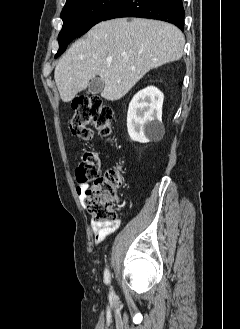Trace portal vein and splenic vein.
Listing matches in <instances>:
<instances>
[{"label":"portal vein and splenic vein","mask_w":240,"mask_h":329,"mask_svg":"<svg viewBox=\"0 0 240 329\" xmlns=\"http://www.w3.org/2000/svg\"><path fill=\"white\" fill-rule=\"evenodd\" d=\"M107 62L110 63L111 62V59H107Z\"/></svg>","instance_id":"obj_1"}]
</instances>
